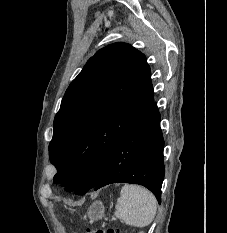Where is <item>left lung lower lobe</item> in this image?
Instances as JSON below:
<instances>
[{"mask_svg":"<svg viewBox=\"0 0 227 233\" xmlns=\"http://www.w3.org/2000/svg\"><path fill=\"white\" fill-rule=\"evenodd\" d=\"M163 148L160 114L153 102L117 141L94 189L111 183L140 184L160 203L165 174Z\"/></svg>","mask_w":227,"mask_h":233,"instance_id":"1","label":"left lung lower lobe"}]
</instances>
